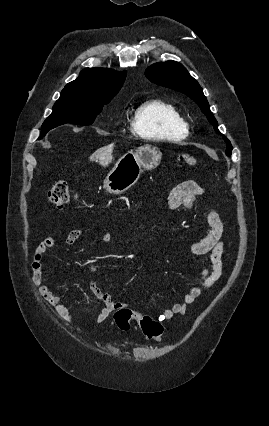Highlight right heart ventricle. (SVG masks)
Instances as JSON below:
<instances>
[{
	"mask_svg": "<svg viewBox=\"0 0 269 426\" xmlns=\"http://www.w3.org/2000/svg\"><path fill=\"white\" fill-rule=\"evenodd\" d=\"M130 125L136 134L149 141H178L188 136V124L177 106L157 98L141 102Z\"/></svg>",
	"mask_w": 269,
	"mask_h": 426,
	"instance_id": "right-heart-ventricle-1",
	"label": "right heart ventricle"
}]
</instances>
